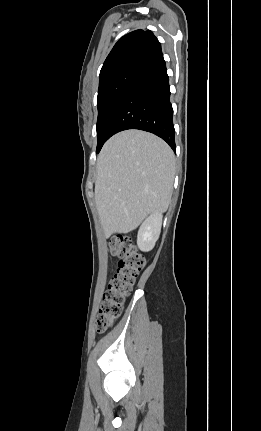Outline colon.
<instances>
[{"label":"colon","instance_id":"colon-1","mask_svg":"<svg viewBox=\"0 0 261 431\" xmlns=\"http://www.w3.org/2000/svg\"><path fill=\"white\" fill-rule=\"evenodd\" d=\"M109 248L112 255L118 258V265L95 321L98 333L106 331L121 315L124 300L131 293L135 279L145 265L144 257L128 236L112 238Z\"/></svg>","mask_w":261,"mask_h":431}]
</instances>
